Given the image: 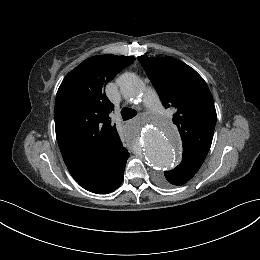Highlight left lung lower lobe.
<instances>
[{
	"mask_svg": "<svg viewBox=\"0 0 260 260\" xmlns=\"http://www.w3.org/2000/svg\"><path fill=\"white\" fill-rule=\"evenodd\" d=\"M199 170L192 165H178L174 170L164 173L166 180L172 185L180 186L187 183Z\"/></svg>",
	"mask_w": 260,
	"mask_h": 260,
	"instance_id": "obj_1",
	"label": "left lung lower lobe"
}]
</instances>
